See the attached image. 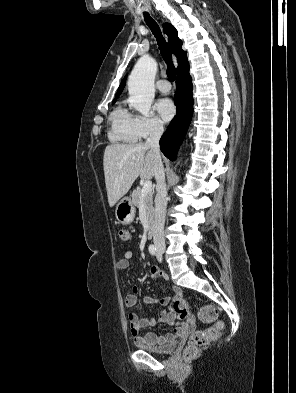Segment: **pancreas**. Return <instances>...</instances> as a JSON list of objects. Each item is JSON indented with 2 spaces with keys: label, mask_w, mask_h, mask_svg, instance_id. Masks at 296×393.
Instances as JSON below:
<instances>
[{
  "label": "pancreas",
  "mask_w": 296,
  "mask_h": 393,
  "mask_svg": "<svg viewBox=\"0 0 296 393\" xmlns=\"http://www.w3.org/2000/svg\"><path fill=\"white\" fill-rule=\"evenodd\" d=\"M132 201H133V204L137 207H139L141 204L144 205L148 222L150 225H152L153 218H154L153 192L150 191L146 195L142 196L141 195V188L137 187V189H135L132 193Z\"/></svg>",
  "instance_id": "pancreas-1"
}]
</instances>
